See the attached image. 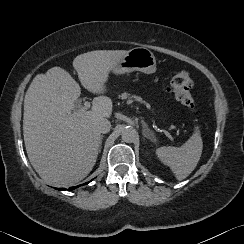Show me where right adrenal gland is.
Masks as SVG:
<instances>
[{"label": "right adrenal gland", "mask_w": 244, "mask_h": 244, "mask_svg": "<svg viewBox=\"0 0 244 244\" xmlns=\"http://www.w3.org/2000/svg\"><path fill=\"white\" fill-rule=\"evenodd\" d=\"M102 139H103V136L101 135V137H100V142H99V149H98L99 153L101 152Z\"/></svg>", "instance_id": "2a0ac1e0"}]
</instances>
